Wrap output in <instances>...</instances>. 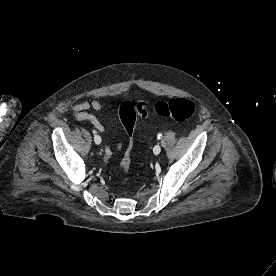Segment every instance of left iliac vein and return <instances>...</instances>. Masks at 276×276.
<instances>
[{
  "instance_id": "1",
  "label": "left iliac vein",
  "mask_w": 276,
  "mask_h": 276,
  "mask_svg": "<svg viewBox=\"0 0 276 276\" xmlns=\"http://www.w3.org/2000/svg\"><path fill=\"white\" fill-rule=\"evenodd\" d=\"M161 151V147L160 145H156L154 148H153V152L154 154L158 155Z\"/></svg>"
}]
</instances>
